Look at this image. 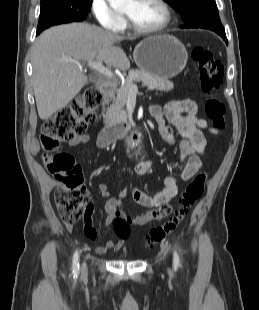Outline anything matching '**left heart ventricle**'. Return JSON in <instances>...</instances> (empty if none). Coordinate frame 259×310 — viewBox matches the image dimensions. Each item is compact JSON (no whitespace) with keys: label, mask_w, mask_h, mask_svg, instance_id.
<instances>
[{"label":"left heart ventricle","mask_w":259,"mask_h":310,"mask_svg":"<svg viewBox=\"0 0 259 310\" xmlns=\"http://www.w3.org/2000/svg\"><path fill=\"white\" fill-rule=\"evenodd\" d=\"M124 14L142 28H153L164 19V10L156 0H130Z\"/></svg>","instance_id":"b2bd125f"}]
</instances>
